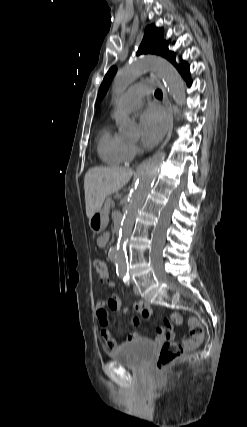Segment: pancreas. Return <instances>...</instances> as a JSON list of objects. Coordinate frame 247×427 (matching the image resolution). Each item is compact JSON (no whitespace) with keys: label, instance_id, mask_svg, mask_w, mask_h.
<instances>
[{"label":"pancreas","instance_id":"pancreas-1","mask_svg":"<svg viewBox=\"0 0 247 427\" xmlns=\"http://www.w3.org/2000/svg\"><path fill=\"white\" fill-rule=\"evenodd\" d=\"M112 203H113L112 198L108 197L105 201L103 211L108 213L110 211V208L113 206Z\"/></svg>","mask_w":247,"mask_h":427}]
</instances>
